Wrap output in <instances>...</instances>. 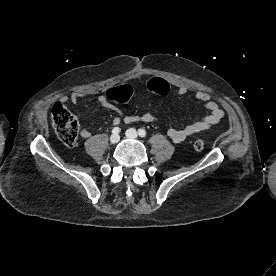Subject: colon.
<instances>
[{
    "mask_svg": "<svg viewBox=\"0 0 276 276\" xmlns=\"http://www.w3.org/2000/svg\"><path fill=\"white\" fill-rule=\"evenodd\" d=\"M148 85L155 93H161L169 86L165 80L159 78H153ZM131 95L132 92L126 87L114 88L108 92V98L113 102L126 101ZM51 121L59 139L67 146L74 145L79 134L77 118L63 104L56 103L51 109ZM192 147L194 151L200 152L204 149V142L196 140Z\"/></svg>",
    "mask_w": 276,
    "mask_h": 276,
    "instance_id": "5ec220e1",
    "label": "colon"
}]
</instances>
